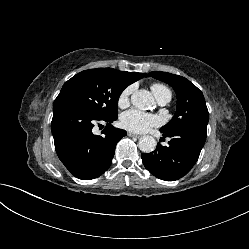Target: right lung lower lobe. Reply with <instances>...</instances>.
I'll return each instance as SVG.
<instances>
[{"label":"right lung lower lobe","mask_w":249,"mask_h":249,"mask_svg":"<svg viewBox=\"0 0 249 249\" xmlns=\"http://www.w3.org/2000/svg\"><path fill=\"white\" fill-rule=\"evenodd\" d=\"M117 119L98 118L64 101L53 105L51 131L57 155L75 177L90 180L111 165L117 142L126 131L111 125ZM95 122H105L102 135H94Z\"/></svg>","instance_id":"1"}]
</instances>
